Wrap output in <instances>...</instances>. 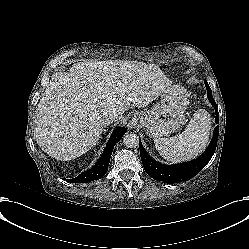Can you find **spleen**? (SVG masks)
Segmentation results:
<instances>
[{
  "instance_id": "3e777b00",
  "label": "spleen",
  "mask_w": 249,
  "mask_h": 249,
  "mask_svg": "<svg viewBox=\"0 0 249 249\" xmlns=\"http://www.w3.org/2000/svg\"><path fill=\"white\" fill-rule=\"evenodd\" d=\"M210 124L207 111L199 109L181 134L170 138H155V147L167 161L177 163L190 160L205 149L209 140Z\"/></svg>"
}]
</instances>
